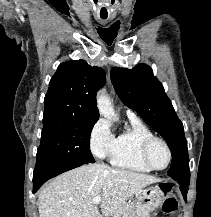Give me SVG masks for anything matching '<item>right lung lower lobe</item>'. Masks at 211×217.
<instances>
[{
    "instance_id": "1",
    "label": "right lung lower lobe",
    "mask_w": 211,
    "mask_h": 217,
    "mask_svg": "<svg viewBox=\"0 0 211 217\" xmlns=\"http://www.w3.org/2000/svg\"><path fill=\"white\" fill-rule=\"evenodd\" d=\"M81 165L83 164L53 162L36 166L33 173V193H35L47 180Z\"/></svg>"
}]
</instances>
